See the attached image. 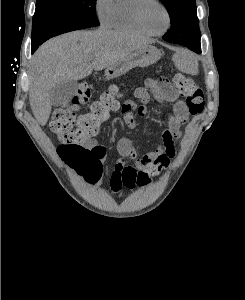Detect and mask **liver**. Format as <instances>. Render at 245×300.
<instances>
[{
    "mask_svg": "<svg viewBox=\"0 0 245 300\" xmlns=\"http://www.w3.org/2000/svg\"><path fill=\"white\" fill-rule=\"evenodd\" d=\"M148 44L146 38L105 28L74 31L45 42L34 55L29 87L30 106L38 123L44 126L49 119L50 92L56 85L81 80Z\"/></svg>",
    "mask_w": 245,
    "mask_h": 300,
    "instance_id": "6515ba94",
    "label": "liver"
}]
</instances>
